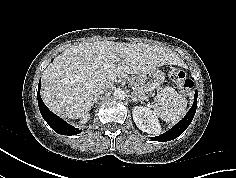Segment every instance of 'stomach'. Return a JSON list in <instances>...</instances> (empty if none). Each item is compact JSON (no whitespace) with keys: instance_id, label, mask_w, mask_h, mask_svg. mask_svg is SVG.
Instances as JSON below:
<instances>
[{"instance_id":"stomach-1","label":"stomach","mask_w":236,"mask_h":178,"mask_svg":"<svg viewBox=\"0 0 236 178\" xmlns=\"http://www.w3.org/2000/svg\"><path fill=\"white\" fill-rule=\"evenodd\" d=\"M164 79V73L157 68L139 74L137 77L138 85L145 94H149L158 89L164 82Z\"/></svg>"}]
</instances>
